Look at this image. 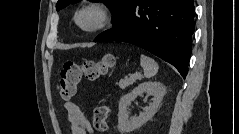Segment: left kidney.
I'll list each match as a JSON object with an SVG mask.
<instances>
[{
  "label": "left kidney",
  "instance_id": "obj_1",
  "mask_svg": "<svg viewBox=\"0 0 239 134\" xmlns=\"http://www.w3.org/2000/svg\"><path fill=\"white\" fill-rule=\"evenodd\" d=\"M149 94L153 96V101L144 108L139 116L129 117L128 106L131 101L139 95ZM166 93V87L160 82H143L134 88L130 93L125 94L119 101L118 129L122 134L130 133L149 121L158 110V107Z\"/></svg>",
  "mask_w": 239,
  "mask_h": 134
}]
</instances>
